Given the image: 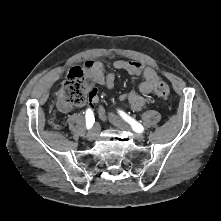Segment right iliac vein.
<instances>
[{"label":"right iliac vein","instance_id":"right-iliac-vein-1","mask_svg":"<svg viewBox=\"0 0 221 221\" xmlns=\"http://www.w3.org/2000/svg\"><path fill=\"white\" fill-rule=\"evenodd\" d=\"M99 130H100V127L98 124H95L94 127L92 128V130L87 134V139L89 141H93L96 139V137L98 136L99 134Z\"/></svg>","mask_w":221,"mask_h":221}]
</instances>
